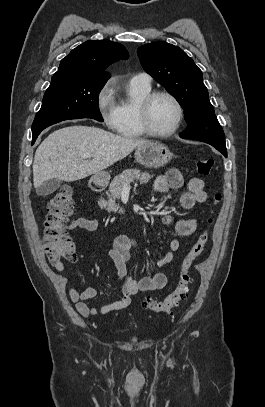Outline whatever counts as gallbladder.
<instances>
[{
    "label": "gallbladder",
    "mask_w": 265,
    "mask_h": 407,
    "mask_svg": "<svg viewBox=\"0 0 265 407\" xmlns=\"http://www.w3.org/2000/svg\"><path fill=\"white\" fill-rule=\"evenodd\" d=\"M61 180L53 178L48 181H45L43 184H41L37 189L36 193L39 196H47L52 193H54L60 186H61Z\"/></svg>",
    "instance_id": "1"
}]
</instances>
